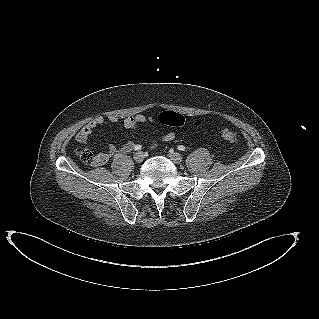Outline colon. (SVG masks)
<instances>
[{
    "label": "colon",
    "mask_w": 319,
    "mask_h": 319,
    "mask_svg": "<svg viewBox=\"0 0 319 319\" xmlns=\"http://www.w3.org/2000/svg\"><path fill=\"white\" fill-rule=\"evenodd\" d=\"M157 119L160 124L167 127H180L184 124V117L181 114L173 111H164L158 115ZM195 124L199 125L201 124V121L196 120ZM220 134L222 138L228 142L234 143L238 140V134L232 128L224 126L220 129ZM77 154L86 164H92L95 159V155L90 150L85 148L78 149Z\"/></svg>",
    "instance_id": "1"
}]
</instances>
